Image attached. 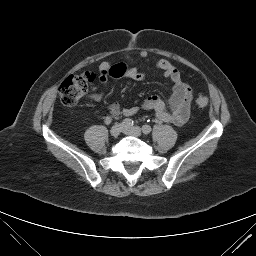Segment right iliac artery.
I'll return each instance as SVG.
<instances>
[{
	"mask_svg": "<svg viewBox=\"0 0 256 256\" xmlns=\"http://www.w3.org/2000/svg\"><path fill=\"white\" fill-rule=\"evenodd\" d=\"M134 124L132 119L126 118L122 121V125L126 128L132 127Z\"/></svg>",
	"mask_w": 256,
	"mask_h": 256,
	"instance_id": "82829eb1",
	"label": "right iliac artery"
}]
</instances>
